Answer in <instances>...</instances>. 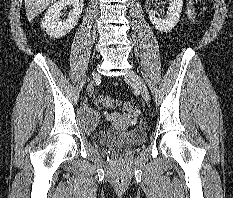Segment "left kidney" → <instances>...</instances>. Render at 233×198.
<instances>
[{
    "mask_svg": "<svg viewBox=\"0 0 233 198\" xmlns=\"http://www.w3.org/2000/svg\"><path fill=\"white\" fill-rule=\"evenodd\" d=\"M169 7L167 8V17L165 19L158 18L157 12L149 11V18L152 24L160 32L171 31L178 23L183 7V0H169Z\"/></svg>",
    "mask_w": 233,
    "mask_h": 198,
    "instance_id": "5707ae66",
    "label": "left kidney"
}]
</instances>
